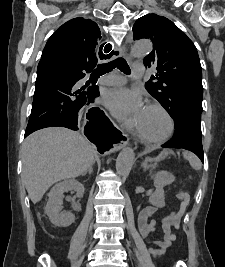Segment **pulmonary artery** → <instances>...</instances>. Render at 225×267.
<instances>
[{"mask_svg": "<svg viewBox=\"0 0 225 267\" xmlns=\"http://www.w3.org/2000/svg\"><path fill=\"white\" fill-rule=\"evenodd\" d=\"M145 74V66L143 64H135L133 67L132 77L135 79L141 78ZM98 82L102 85L114 86L121 85L125 82V78L119 75H106L98 78Z\"/></svg>", "mask_w": 225, "mask_h": 267, "instance_id": "pulmonary-artery-1", "label": "pulmonary artery"}]
</instances>
